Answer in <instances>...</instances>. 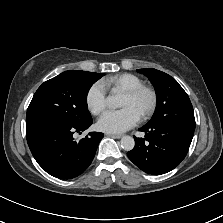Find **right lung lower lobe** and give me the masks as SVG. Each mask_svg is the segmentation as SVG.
Here are the masks:
<instances>
[{"label":"right lung lower lobe","instance_id":"98d812e1","mask_svg":"<svg viewBox=\"0 0 223 223\" xmlns=\"http://www.w3.org/2000/svg\"><path fill=\"white\" fill-rule=\"evenodd\" d=\"M84 125H50L26 131L29 148L38 164L50 175L60 179L77 177L92 162L103 133L91 132L78 143L73 134L86 130Z\"/></svg>","mask_w":223,"mask_h":223}]
</instances>
